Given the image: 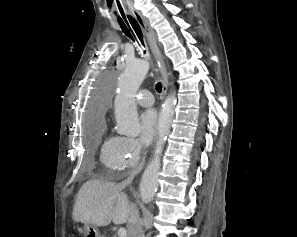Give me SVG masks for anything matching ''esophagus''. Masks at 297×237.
Listing matches in <instances>:
<instances>
[{
    "mask_svg": "<svg viewBox=\"0 0 297 237\" xmlns=\"http://www.w3.org/2000/svg\"><path fill=\"white\" fill-rule=\"evenodd\" d=\"M134 17L137 20V22L139 23L144 35L147 38L148 44H149L155 58L157 59V63H158V66L160 68L161 75H162V84H163L162 95L165 96L167 93V89H168V75H167V71H166V68L163 63V59H162L160 50L156 43L154 31L151 28L148 20L142 14L135 13Z\"/></svg>",
    "mask_w": 297,
    "mask_h": 237,
    "instance_id": "1",
    "label": "esophagus"
}]
</instances>
